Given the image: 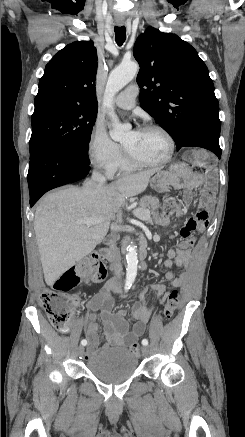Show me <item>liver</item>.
<instances>
[{"label":"liver","instance_id":"liver-1","mask_svg":"<svg viewBox=\"0 0 245 437\" xmlns=\"http://www.w3.org/2000/svg\"><path fill=\"white\" fill-rule=\"evenodd\" d=\"M156 172L126 175L104 186L91 180L81 188L69 186L42 199L35 211L34 231L47 285L95 249L125 199L142 193ZM93 217L102 221L91 226L78 222Z\"/></svg>","mask_w":245,"mask_h":437}]
</instances>
